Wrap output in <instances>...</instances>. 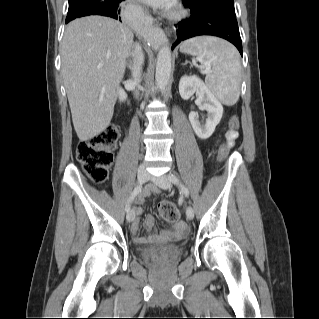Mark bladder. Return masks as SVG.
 I'll list each match as a JSON object with an SVG mask.
<instances>
[{
    "instance_id": "1",
    "label": "bladder",
    "mask_w": 319,
    "mask_h": 319,
    "mask_svg": "<svg viewBox=\"0 0 319 319\" xmlns=\"http://www.w3.org/2000/svg\"><path fill=\"white\" fill-rule=\"evenodd\" d=\"M173 246H174V248H175L176 250H184V248H185L184 243L175 244V245H173Z\"/></svg>"
}]
</instances>
